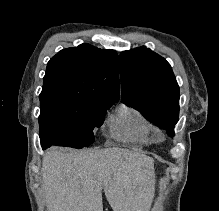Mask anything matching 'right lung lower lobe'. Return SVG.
<instances>
[{
  "mask_svg": "<svg viewBox=\"0 0 219 211\" xmlns=\"http://www.w3.org/2000/svg\"><path fill=\"white\" fill-rule=\"evenodd\" d=\"M41 146H42L43 149H47V148H49L51 145H50V144H42V143H41Z\"/></svg>",
  "mask_w": 219,
  "mask_h": 211,
  "instance_id": "98d812e1",
  "label": "right lung lower lobe"
}]
</instances>
